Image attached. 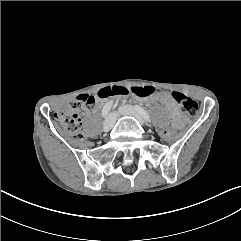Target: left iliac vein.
I'll return each instance as SVG.
<instances>
[{
    "label": "left iliac vein",
    "instance_id": "1",
    "mask_svg": "<svg viewBox=\"0 0 241 241\" xmlns=\"http://www.w3.org/2000/svg\"><path fill=\"white\" fill-rule=\"evenodd\" d=\"M118 113L123 116H132L136 118L142 126H144V120L142 116L138 113V111L134 107L130 105L121 106L118 109Z\"/></svg>",
    "mask_w": 241,
    "mask_h": 241
}]
</instances>
